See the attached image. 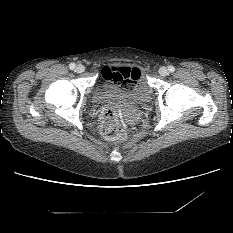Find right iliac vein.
I'll use <instances>...</instances> for the list:
<instances>
[{
	"instance_id": "obj_1",
	"label": "right iliac vein",
	"mask_w": 233,
	"mask_h": 233,
	"mask_svg": "<svg viewBox=\"0 0 233 233\" xmlns=\"http://www.w3.org/2000/svg\"><path fill=\"white\" fill-rule=\"evenodd\" d=\"M84 70H85V67L83 65H81V64L77 65L76 68H75V71L77 73H82V72H84Z\"/></svg>"
}]
</instances>
